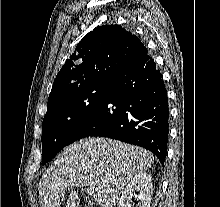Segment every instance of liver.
Segmentation results:
<instances>
[{"instance_id":"liver-1","label":"liver","mask_w":220,"mask_h":207,"mask_svg":"<svg viewBox=\"0 0 220 207\" xmlns=\"http://www.w3.org/2000/svg\"><path fill=\"white\" fill-rule=\"evenodd\" d=\"M153 163L152 154L143 148L108 138L82 139L65 148L43 173L40 207H61L67 190L66 207H79V194L73 191L77 186L94 188L96 205L113 207L128 181Z\"/></svg>"}]
</instances>
